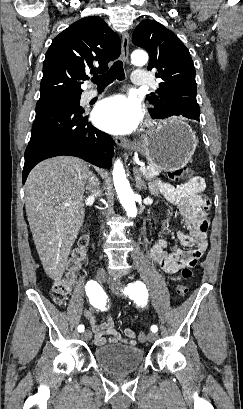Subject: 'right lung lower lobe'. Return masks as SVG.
<instances>
[{"mask_svg": "<svg viewBox=\"0 0 243 409\" xmlns=\"http://www.w3.org/2000/svg\"><path fill=\"white\" fill-rule=\"evenodd\" d=\"M114 141L93 127L80 106L37 102L30 142L25 151L23 184L40 161L59 155L76 156L102 168H110Z\"/></svg>", "mask_w": 243, "mask_h": 409, "instance_id": "1", "label": "right lung lower lobe"}]
</instances>
